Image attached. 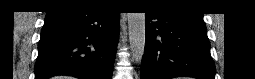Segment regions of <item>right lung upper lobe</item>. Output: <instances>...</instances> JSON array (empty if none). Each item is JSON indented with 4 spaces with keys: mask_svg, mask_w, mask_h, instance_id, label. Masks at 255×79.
<instances>
[{
    "mask_svg": "<svg viewBox=\"0 0 255 79\" xmlns=\"http://www.w3.org/2000/svg\"><path fill=\"white\" fill-rule=\"evenodd\" d=\"M92 1H82V0H59L55 2L51 10H57L65 7H77V6H91L88 3Z\"/></svg>",
    "mask_w": 255,
    "mask_h": 79,
    "instance_id": "right-lung-upper-lobe-1",
    "label": "right lung upper lobe"
}]
</instances>
